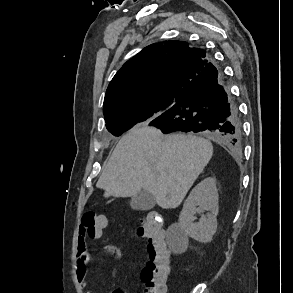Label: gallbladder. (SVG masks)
I'll list each match as a JSON object with an SVG mask.
<instances>
[{
    "label": "gallbladder",
    "instance_id": "1",
    "mask_svg": "<svg viewBox=\"0 0 293 293\" xmlns=\"http://www.w3.org/2000/svg\"><path fill=\"white\" fill-rule=\"evenodd\" d=\"M156 204L153 195L147 191H140L131 197L130 206L134 210L147 211L154 208Z\"/></svg>",
    "mask_w": 293,
    "mask_h": 293
}]
</instances>
